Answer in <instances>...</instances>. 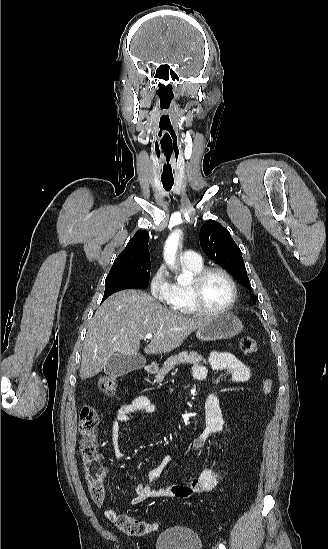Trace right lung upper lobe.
Returning <instances> with one entry per match:
<instances>
[{"instance_id": "right-lung-upper-lobe-1", "label": "right lung upper lobe", "mask_w": 328, "mask_h": 549, "mask_svg": "<svg viewBox=\"0 0 328 549\" xmlns=\"http://www.w3.org/2000/svg\"><path fill=\"white\" fill-rule=\"evenodd\" d=\"M149 234L142 230L137 232L128 242L126 248L115 259L111 270H116L142 260H150L147 248ZM110 270V271H111Z\"/></svg>"}]
</instances>
